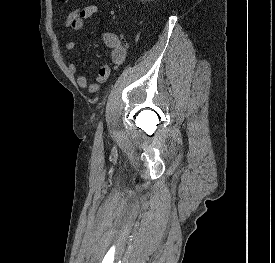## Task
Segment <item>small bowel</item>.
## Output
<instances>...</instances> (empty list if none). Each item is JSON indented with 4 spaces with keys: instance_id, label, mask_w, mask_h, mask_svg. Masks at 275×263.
Masks as SVG:
<instances>
[{
    "instance_id": "obj_1",
    "label": "small bowel",
    "mask_w": 275,
    "mask_h": 263,
    "mask_svg": "<svg viewBox=\"0 0 275 263\" xmlns=\"http://www.w3.org/2000/svg\"><path fill=\"white\" fill-rule=\"evenodd\" d=\"M98 12L99 7L95 4L79 6L67 15L65 26L68 29L79 31L84 27L85 21L97 15ZM103 40L106 46L110 49V58L112 62L116 68L119 67L126 57L125 41L114 33H105L103 35ZM64 48L66 51H72L76 48V42L68 40L64 44ZM67 68L71 75H76L77 66L74 62H70L67 65ZM110 74V66L104 64L97 71L96 83H88L87 78L84 75H78L76 81L80 88L87 89L90 93H94L99 90L102 83L109 79Z\"/></svg>"
}]
</instances>
